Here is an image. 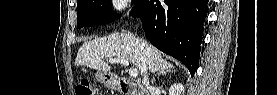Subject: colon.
Instances as JSON below:
<instances>
[{
    "mask_svg": "<svg viewBox=\"0 0 277 95\" xmlns=\"http://www.w3.org/2000/svg\"><path fill=\"white\" fill-rule=\"evenodd\" d=\"M77 95L99 94L98 89L91 85L88 80L81 81L76 88Z\"/></svg>",
    "mask_w": 277,
    "mask_h": 95,
    "instance_id": "colon-1",
    "label": "colon"
}]
</instances>
